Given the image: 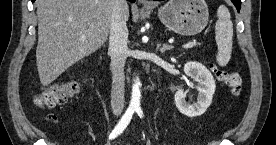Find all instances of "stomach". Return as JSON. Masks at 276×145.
Returning <instances> with one entry per match:
<instances>
[{"instance_id": "1", "label": "stomach", "mask_w": 276, "mask_h": 145, "mask_svg": "<svg viewBox=\"0 0 276 145\" xmlns=\"http://www.w3.org/2000/svg\"><path fill=\"white\" fill-rule=\"evenodd\" d=\"M158 17L175 33L192 36L206 27L209 12L204 0H170L158 10Z\"/></svg>"}]
</instances>
